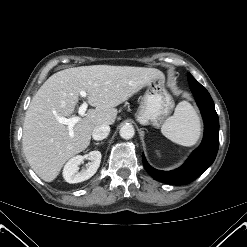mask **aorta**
Wrapping results in <instances>:
<instances>
[{
  "label": "aorta",
  "mask_w": 247,
  "mask_h": 247,
  "mask_svg": "<svg viewBox=\"0 0 247 247\" xmlns=\"http://www.w3.org/2000/svg\"><path fill=\"white\" fill-rule=\"evenodd\" d=\"M120 136L123 139H131L134 134H135V130L134 127L130 124L124 125L120 128Z\"/></svg>",
  "instance_id": "obj_1"
}]
</instances>
